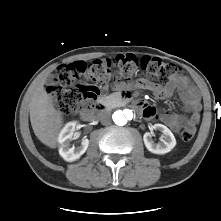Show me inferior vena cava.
<instances>
[{
    "label": "inferior vena cava",
    "instance_id": "inferior-vena-cava-1",
    "mask_svg": "<svg viewBox=\"0 0 221 221\" xmlns=\"http://www.w3.org/2000/svg\"><path fill=\"white\" fill-rule=\"evenodd\" d=\"M98 119L100 120V122L103 124V125H108L110 124L111 122V114L109 111H101L99 114H98Z\"/></svg>",
    "mask_w": 221,
    "mask_h": 221
}]
</instances>
